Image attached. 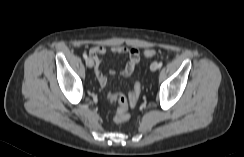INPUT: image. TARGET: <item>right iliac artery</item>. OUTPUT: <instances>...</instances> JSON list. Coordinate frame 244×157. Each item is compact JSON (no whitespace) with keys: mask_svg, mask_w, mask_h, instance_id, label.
Returning <instances> with one entry per match:
<instances>
[{"mask_svg":"<svg viewBox=\"0 0 244 157\" xmlns=\"http://www.w3.org/2000/svg\"><path fill=\"white\" fill-rule=\"evenodd\" d=\"M83 58L85 59V60H87V54L86 53H83Z\"/></svg>","mask_w":244,"mask_h":157,"instance_id":"1","label":"right iliac artery"}]
</instances>
